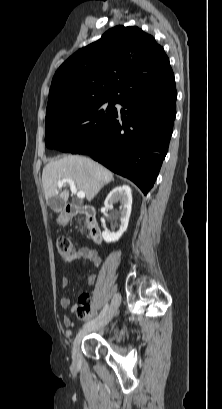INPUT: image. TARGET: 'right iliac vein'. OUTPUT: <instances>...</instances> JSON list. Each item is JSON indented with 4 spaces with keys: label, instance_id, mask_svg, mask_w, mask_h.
Masks as SVG:
<instances>
[{
    "label": "right iliac vein",
    "instance_id": "1",
    "mask_svg": "<svg viewBox=\"0 0 222 409\" xmlns=\"http://www.w3.org/2000/svg\"><path fill=\"white\" fill-rule=\"evenodd\" d=\"M121 303V296L119 294H116L110 304V307L108 309V311L106 312V314L101 318V320H99L98 322H96L94 325L84 328L82 329L76 336L74 343H73V349H72V358L74 361H77L79 358V345L82 341V339L91 331L93 330H98L102 327H104L105 325H107L112 318L115 315V312L117 311L118 307L120 306Z\"/></svg>",
    "mask_w": 222,
    "mask_h": 409
}]
</instances>
